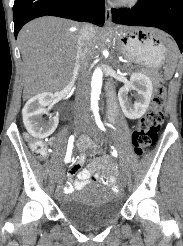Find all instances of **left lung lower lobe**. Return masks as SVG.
<instances>
[{
    "label": "left lung lower lobe",
    "mask_w": 183,
    "mask_h": 246,
    "mask_svg": "<svg viewBox=\"0 0 183 246\" xmlns=\"http://www.w3.org/2000/svg\"><path fill=\"white\" fill-rule=\"evenodd\" d=\"M114 23L159 28L176 40L183 51V0H139L131 9H113Z\"/></svg>",
    "instance_id": "0a47b994"
}]
</instances>
